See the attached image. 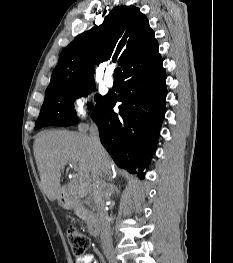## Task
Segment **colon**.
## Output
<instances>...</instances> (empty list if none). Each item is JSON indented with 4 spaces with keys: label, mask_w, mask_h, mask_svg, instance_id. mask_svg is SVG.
<instances>
[{
    "label": "colon",
    "mask_w": 233,
    "mask_h": 263,
    "mask_svg": "<svg viewBox=\"0 0 233 263\" xmlns=\"http://www.w3.org/2000/svg\"><path fill=\"white\" fill-rule=\"evenodd\" d=\"M67 238L72 249L73 256L76 259H81L85 256L89 248V238L77 228H69L67 230Z\"/></svg>",
    "instance_id": "obj_1"
}]
</instances>
